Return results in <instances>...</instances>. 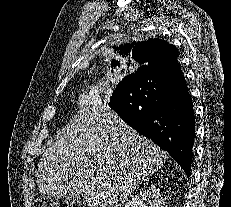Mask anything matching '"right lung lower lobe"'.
<instances>
[{"mask_svg": "<svg viewBox=\"0 0 231 207\" xmlns=\"http://www.w3.org/2000/svg\"><path fill=\"white\" fill-rule=\"evenodd\" d=\"M109 106L132 128L167 151L189 176L195 116L180 65L140 67L116 87Z\"/></svg>", "mask_w": 231, "mask_h": 207, "instance_id": "1", "label": "right lung lower lobe"}]
</instances>
